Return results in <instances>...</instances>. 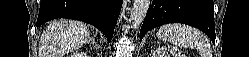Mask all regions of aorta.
Listing matches in <instances>:
<instances>
[{
    "label": "aorta",
    "mask_w": 249,
    "mask_h": 57,
    "mask_svg": "<svg viewBox=\"0 0 249 57\" xmlns=\"http://www.w3.org/2000/svg\"><path fill=\"white\" fill-rule=\"evenodd\" d=\"M149 5L150 0H134L129 20L132 28L140 27L146 17Z\"/></svg>",
    "instance_id": "aorta-1"
}]
</instances>
